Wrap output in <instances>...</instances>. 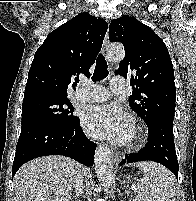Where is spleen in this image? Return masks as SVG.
Instances as JSON below:
<instances>
[{
    "instance_id": "spleen-1",
    "label": "spleen",
    "mask_w": 196,
    "mask_h": 201,
    "mask_svg": "<svg viewBox=\"0 0 196 201\" xmlns=\"http://www.w3.org/2000/svg\"><path fill=\"white\" fill-rule=\"evenodd\" d=\"M144 176L137 184L135 201H175L176 179L165 167L155 162H138Z\"/></svg>"
}]
</instances>
